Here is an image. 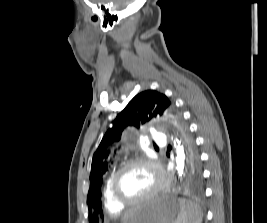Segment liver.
Instances as JSON below:
<instances>
[{"mask_svg": "<svg viewBox=\"0 0 267 223\" xmlns=\"http://www.w3.org/2000/svg\"><path fill=\"white\" fill-rule=\"evenodd\" d=\"M131 213H132V210H130V211H128V212H126L124 214V216L122 217V223H124L129 218V216L131 215Z\"/></svg>", "mask_w": 267, "mask_h": 223, "instance_id": "1", "label": "liver"}]
</instances>
